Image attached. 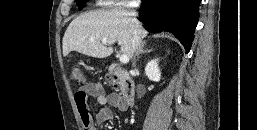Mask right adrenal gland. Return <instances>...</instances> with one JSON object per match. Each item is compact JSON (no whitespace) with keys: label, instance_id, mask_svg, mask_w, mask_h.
Listing matches in <instances>:
<instances>
[{"label":"right adrenal gland","instance_id":"1","mask_svg":"<svg viewBox=\"0 0 257 130\" xmlns=\"http://www.w3.org/2000/svg\"><path fill=\"white\" fill-rule=\"evenodd\" d=\"M145 45H146V42H142L139 49H138V52L136 54L137 58L134 59V62H133V65L136 64L137 60L139 59L140 55L142 54H147V53H150L153 51V49H145Z\"/></svg>","mask_w":257,"mask_h":130}]
</instances>
